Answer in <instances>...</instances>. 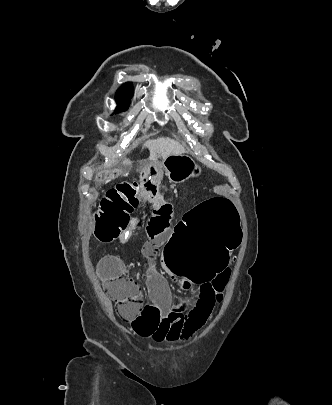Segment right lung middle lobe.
I'll return each mask as SVG.
<instances>
[{"mask_svg":"<svg viewBox=\"0 0 332 405\" xmlns=\"http://www.w3.org/2000/svg\"><path fill=\"white\" fill-rule=\"evenodd\" d=\"M132 96V89L128 87H121L116 95L117 109L116 112L125 111L130 104V98Z\"/></svg>","mask_w":332,"mask_h":405,"instance_id":"obj_1","label":"right lung middle lobe"}]
</instances>
